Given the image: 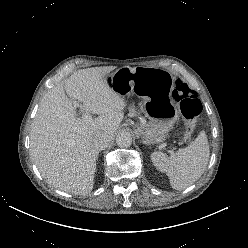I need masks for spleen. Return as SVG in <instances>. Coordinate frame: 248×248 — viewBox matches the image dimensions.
Instances as JSON below:
<instances>
[{
  "label": "spleen",
  "instance_id": "spleen-1",
  "mask_svg": "<svg viewBox=\"0 0 248 248\" xmlns=\"http://www.w3.org/2000/svg\"><path fill=\"white\" fill-rule=\"evenodd\" d=\"M210 155L206 133L201 131L198 137L185 148L171 156L162 152H153L151 160L160 172H165L173 189L182 190L192 185L204 173Z\"/></svg>",
  "mask_w": 248,
  "mask_h": 248
}]
</instances>
